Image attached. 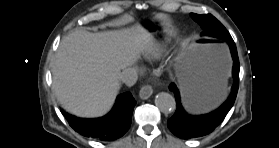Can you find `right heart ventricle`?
<instances>
[{
	"label": "right heart ventricle",
	"mask_w": 279,
	"mask_h": 148,
	"mask_svg": "<svg viewBox=\"0 0 279 148\" xmlns=\"http://www.w3.org/2000/svg\"><path fill=\"white\" fill-rule=\"evenodd\" d=\"M168 44H169L168 39H160V40L154 41L145 50V52H144L145 58L156 59V58L160 57L167 49Z\"/></svg>",
	"instance_id": "right-heart-ventricle-1"
}]
</instances>
